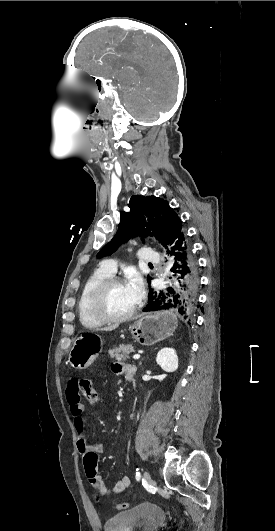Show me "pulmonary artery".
I'll use <instances>...</instances> for the list:
<instances>
[{
	"mask_svg": "<svg viewBox=\"0 0 275 531\" xmlns=\"http://www.w3.org/2000/svg\"><path fill=\"white\" fill-rule=\"evenodd\" d=\"M138 256H141V260H144L147 264H157L160 261L159 253L155 249L150 251L144 250L141 253H138ZM99 269L101 272H106L109 274H117L119 272V269L114 266L112 261H101L99 264Z\"/></svg>",
	"mask_w": 275,
	"mask_h": 531,
	"instance_id": "obj_1",
	"label": "pulmonary artery"
}]
</instances>
